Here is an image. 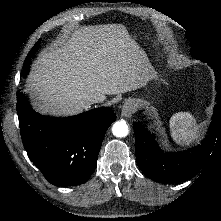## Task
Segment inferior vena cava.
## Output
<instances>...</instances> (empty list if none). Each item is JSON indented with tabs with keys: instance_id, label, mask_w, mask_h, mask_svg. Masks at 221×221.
Listing matches in <instances>:
<instances>
[{
	"instance_id": "obj_1",
	"label": "inferior vena cava",
	"mask_w": 221,
	"mask_h": 221,
	"mask_svg": "<svg viewBox=\"0 0 221 221\" xmlns=\"http://www.w3.org/2000/svg\"><path fill=\"white\" fill-rule=\"evenodd\" d=\"M105 97L103 95H92L86 99L87 103L94 104V103H101L103 102Z\"/></svg>"
}]
</instances>
